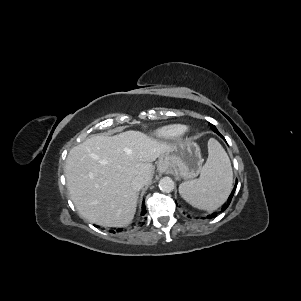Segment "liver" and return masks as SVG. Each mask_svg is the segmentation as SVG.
Masks as SVG:
<instances>
[{
	"label": "liver",
	"mask_w": 301,
	"mask_h": 301,
	"mask_svg": "<svg viewBox=\"0 0 301 301\" xmlns=\"http://www.w3.org/2000/svg\"><path fill=\"white\" fill-rule=\"evenodd\" d=\"M170 146L130 130L114 136L93 135L73 147L66 159L65 177L80 215L103 227L129 225L137 207L132 180L141 176L149 183L152 162Z\"/></svg>",
	"instance_id": "obj_1"
}]
</instances>
